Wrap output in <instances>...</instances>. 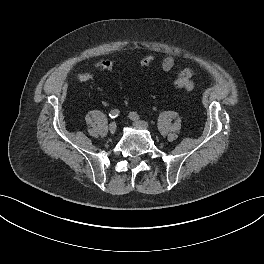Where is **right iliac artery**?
<instances>
[{
  "mask_svg": "<svg viewBox=\"0 0 264 264\" xmlns=\"http://www.w3.org/2000/svg\"><path fill=\"white\" fill-rule=\"evenodd\" d=\"M120 111L118 109H114L109 113V117L114 119L119 115Z\"/></svg>",
  "mask_w": 264,
  "mask_h": 264,
  "instance_id": "right-iliac-artery-1",
  "label": "right iliac artery"
}]
</instances>
